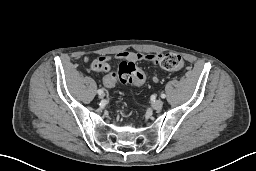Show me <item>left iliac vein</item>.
<instances>
[{"label": "left iliac vein", "mask_w": 256, "mask_h": 171, "mask_svg": "<svg viewBox=\"0 0 256 171\" xmlns=\"http://www.w3.org/2000/svg\"><path fill=\"white\" fill-rule=\"evenodd\" d=\"M152 106L154 109L156 110H160L163 106V101L158 99V100H155L153 103H152Z\"/></svg>", "instance_id": "4c4485c4"}]
</instances>
